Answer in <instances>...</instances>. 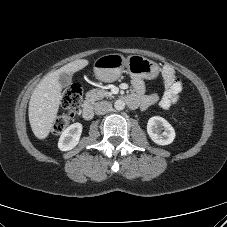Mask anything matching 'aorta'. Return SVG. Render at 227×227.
I'll return each mask as SVG.
<instances>
[{"instance_id": "obj_1", "label": "aorta", "mask_w": 227, "mask_h": 227, "mask_svg": "<svg viewBox=\"0 0 227 227\" xmlns=\"http://www.w3.org/2000/svg\"><path fill=\"white\" fill-rule=\"evenodd\" d=\"M114 107L116 110L121 111L125 108V102L123 100H116L114 103Z\"/></svg>"}]
</instances>
